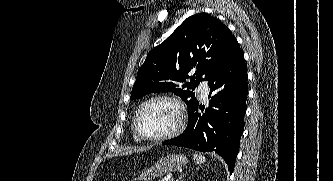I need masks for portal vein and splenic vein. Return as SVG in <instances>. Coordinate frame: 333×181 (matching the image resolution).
Returning <instances> with one entry per match:
<instances>
[{
    "label": "portal vein and splenic vein",
    "instance_id": "1",
    "mask_svg": "<svg viewBox=\"0 0 333 181\" xmlns=\"http://www.w3.org/2000/svg\"><path fill=\"white\" fill-rule=\"evenodd\" d=\"M162 181H164V180H162ZM169 181H174V178L169 179Z\"/></svg>",
    "mask_w": 333,
    "mask_h": 181
}]
</instances>
